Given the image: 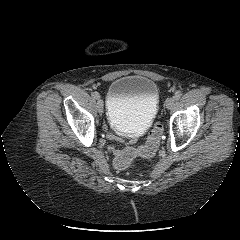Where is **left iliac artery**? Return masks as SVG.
<instances>
[{
  "mask_svg": "<svg viewBox=\"0 0 240 240\" xmlns=\"http://www.w3.org/2000/svg\"><path fill=\"white\" fill-rule=\"evenodd\" d=\"M181 96H182V93H181L180 91H177V92H175V94H174V98H175L176 100L180 99Z\"/></svg>",
  "mask_w": 240,
  "mask_h": 240,
  "instance_id": "1",
  "label": "left iliac artery"
}]
</instances>
